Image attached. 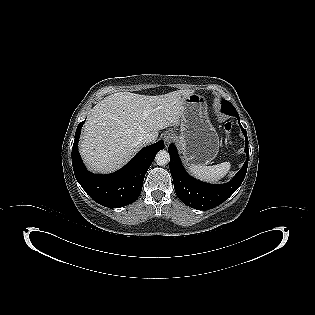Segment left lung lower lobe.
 Returning a JSON list of instances; mask_svg holds the SVG:
<instances>
[{"mask_svg": "<svg viewBox=\"0 0 315 315\" xmlns=\"http://www.w3.org/2000/svg\"><path fill=\"white\" fill-rule=\"evenodd\" d=\"M236 118L239 120V115L236 116ZM241 129L246 137L245 153L247 160L233 179L225 184L211 185L190 177L181 164L174 144L169 146L170 172L173 178L175 192L183 203L195 209H211L223 203L241 185L246 175L249 154L247 133L242 126Z\"/></svg>", "mask_w": 315, "mask_h": 315, "instance_id": "0a47b994", "label": "left lung lower lobe"}]
</instances>
